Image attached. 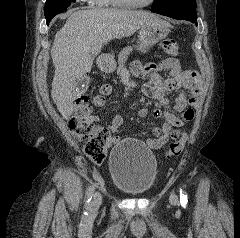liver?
Instances as JSON below:
<instances>
[{
    "mask_svg": "<svg viewBox=\"0 0 240 238\" xmlns=\"http://www.w3.org/2000/svg\"><path fill=\"white\" fill-rule=\"evenodd\" d=\"M158 20L153 13L125 9L95 8L69 15L51 48L55 67L51 96L64 119L72 115L77 82L91 71L102 44L129 37L145 24ZM94 48L99 50L93 53Z\"/></svg>",
    "mask_w": 240,
    "mask_h": 238,
    "instance_id": "obj_1",
    "label": "liver"
}]
</instances>
